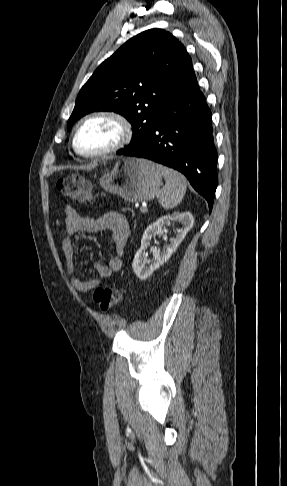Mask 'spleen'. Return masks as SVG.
Returning <instances> with one entry per match:
<instances>
[{
  "label": "spleen",
  "instance_id": "obj_1",
  "mask_svg": "<svg viewBox=\"0 0 287 486\" xmlns=\"http://www.w3.org/2000/svg\"><path fill=\"white\" fill-rule=\"evenodd\" d=\"M165 179V186L157 194V199L164 209H172L179 205L187 188L186 178L179 172L158 165Z\"/></svg>",
  "mask_w": 287,
  "mask_h": 486
}]
</instances>
